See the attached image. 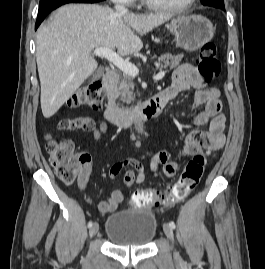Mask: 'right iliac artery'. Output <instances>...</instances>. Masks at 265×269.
<instances>
[{"instance_id":"obj_1","label":"right iliac artery","mask_w":265,"mask_h":269,"mask_svg":"<svg viewBox=\"0 0 265 269\" xmlns=\"http://www.w3.org/2000/svg\"><path fill=\"white\" fill-rule=\"evenodd\" d=\"M93 225L92 221L88 222V227L90 228Z\"/></svg>"}]
</instances>
